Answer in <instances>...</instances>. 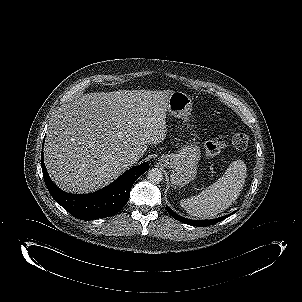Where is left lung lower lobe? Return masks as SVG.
<instances>
[{
	"label": "left lung lower lobe",
	"mask_w": 302,
	"mask_h": 302,
	"mask_svg": "<svg viewBox=\"0 0 302 302\" xmlns=\"http://www.w3.org/2000/svg\"><path fill=\"white\" fill-rule=\"evenodd\" d=\"M167 211L168 213L175 219L179 220L180 222H183V223H186L188 225H192V226H197V227H203V226H208V225H213L221 220H223L224 218L230 216V215H226V216H223V217H220V218H217V219H212V220H201V221H198V220H189L187 218H183L179 215H177L176 213H174L171 209H169L167 207Z\"/></svg>",
	"instance_id": "obj_1"
}]
</instances>
